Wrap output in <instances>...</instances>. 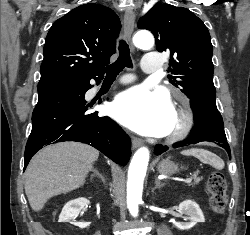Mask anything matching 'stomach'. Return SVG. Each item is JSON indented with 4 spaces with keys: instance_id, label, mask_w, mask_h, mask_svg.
<instances>
[{
    "instance_id": "stomach-1",
    "label": "stomach",
    "mask_w": 250,
    "mask_h": 235,
    "mask_svg": "<svg viewBox=\"0 0 250 235\" xmlns=\"http://www.w3.org/2000/svg\"><path fill=\"white\" fill-rule=\"evenodd\" d=\"M157 170L160 174L170 176L178 172L179 169L177 164L169 160H163L158 164Z\"/></svg>"
}]
</instances>
